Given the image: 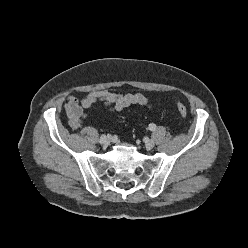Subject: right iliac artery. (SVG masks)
Segmentation results:
<instances>
[{
  "instance_id": "1",
  "label": "right iliac artery",
  "mask_w": 248,
  "mask_h": 248,
  "mask_svg": "<svg viewBox=\"0 0 248 248\" xmlns=\"http://www.w3.org/2000/svg\"><path fill=\"white\" fill-rule=\"evenodd\" d=\"M105 135H101L99 139V144H104Z\"/></svg>"
}]
</instances>
